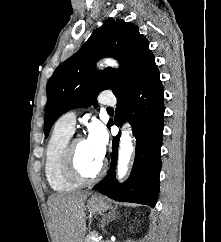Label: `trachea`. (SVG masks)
Masks as SVG:
<instances>
[{
    "mask_svg": "<svg viewBox=\"0 0 221 242\" xmlns=\"http://www.w3.org/2000/svg\"><path fill=\"white\" fill-rule=\"evenodd\" d=\"M107 111H108V112H114V110H113L112 107H108V108H107Z\"/></svg>",
    "mask_w": 221,
    "mask_h": 242,
    "instance_id": "3493384b",
    "label": "trachea"
}]
</instances>
